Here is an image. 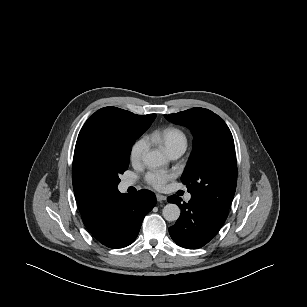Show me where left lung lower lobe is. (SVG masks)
Segmentation results:
<instances>
[{"mask_svg":"<svg viewBox=\"0 0 307 307\" xmlns=\"http://www.w3.org/2000/svg\"><path fill=\"white\" fill-rule=\"evenodd\" d=\"M168 202L177 204L181 217L169 228L173 241L184 248L197 249L207 244L220 230L225 220L197 200L181 203L176 195L168 197Z\"/></svg>","mask_w":307,"mask_h":307,"instance_id":"1","label":"left lung lower lobe"}]
</instances>
